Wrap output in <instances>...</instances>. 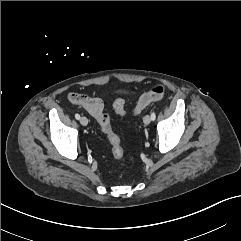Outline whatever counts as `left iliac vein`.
I'll use <instances>...</instances> for the list:
<instances>
[{
    "label": "left iliac vein",
    "mask_w": 241,
    "mask_h": 241,
    "mask_svg": "<svg viewBox=\"0 0 241 241\" xmlns=\"http://www.w3.org/2000/svg\"><path fill=\"white\" fill-rule=\"evenodd\" d=\"M143 122L145 125H149L151 122V117L149 115L144 116Z\"/></svg>",
    "instance_id": "4c4485c4"
}]
</instances>
